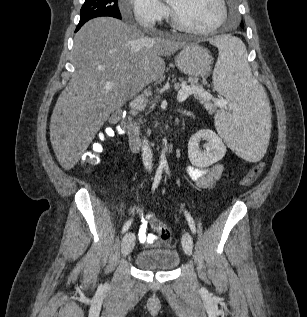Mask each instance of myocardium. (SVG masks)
<instances>
[{
    "instance_id": "myocardium-1",
    "label": "myocardium",
    "mask_w": 307,
    "mask_h": 317,
    "mask_svg": "<svg viewBox=\"0 0 307 317\" xmlns=\"http://www.w3.org/2000/svg\"><path fill=\"white\" fill-rule=\"evenodd\" d=\"M220 6V16L217 22L209 28L206 29H196L184 24L175 14L173 8L169 5V15H170V23L171 25L182 32L198 35V36H206L217 31L225 22L228 14L227 4L225 0H217Z\"/></svg>"
}]
</instances>
